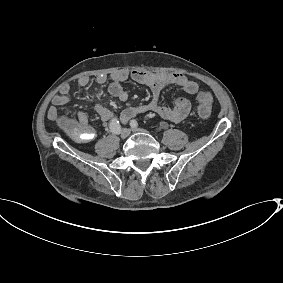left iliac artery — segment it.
Listing matches in <instances>:
<instances>
[{
	"label": "left iliac artery",
	"mask_w": 283,
	"mask_h": 283,
	"mask_svg": "<svg viewBox=\"0 0 283 283\" xmlns=\"http://www.w3.org/2000/svg\"><path fill=\"white\" fill-rule=\"evenodd\" d=\"M130 126L131 127L138 126V122L135 119H133V120L130 121Z\"/></svg>",
	"instance_id": "44dca946"
}]
</instances>
